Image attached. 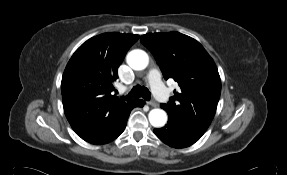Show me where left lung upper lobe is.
Masks as SVG:
<instances>
[{
	"mask_svg": "<svg viewBox=\"0 0 287 175\" xmlns=\"http://www.w3.org/2000/svg\"><path fill=\"white\" fill-rule=\"evenodd\" d=\"M140 41L154 55L164 78L179 89L161 104L170 119L202 136L209 127L221 93L217 67L203 46L178 32L145 34Z\"/></svg>",
	"mask_w": 287,
	"mask_h": 175,
	"instance_id": "5c2ea615",
	"label": "left lung upper lobe"
}]
</instances>
